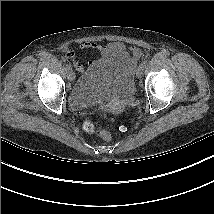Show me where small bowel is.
<instances>
[{
	"mask_svg": "<svg viewBox=\"0 0 214 214\" xmlns=\"http://www.w3.org/2000/svg\"><path fill=\"white\" fill-rule=\"evenodd\" d=\"M81 50H94L103 56L117 55L121 56L125 63L133 68L141 56V51L135 46L127 47L121 42H110L106 45H101L96 42H84L80 44ZM68 57L73 60L75 69L78 72H84L86 66L93 67L98 64V61H88L87 64L80 62L73 52H69Z\"/></svg>",
	"mask_w": 214,
	"mask_h": 214,
	"instance_id": "1",
	"label": "small bowel"
}]
</instances>
